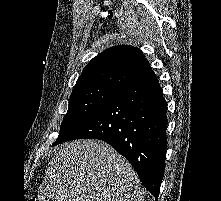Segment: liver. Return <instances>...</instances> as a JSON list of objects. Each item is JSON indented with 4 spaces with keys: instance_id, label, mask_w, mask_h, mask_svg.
Listing matches in <instances>:
<instances>
[{
    "instance_id": "1",
    "label": "liver",
    "mask_w": 221,
    "mask_h": 201,
    "mask_svg": "<svg viewBox=\"0 0 221 201\" xmlns=\"http://www.w3.org/2000/svg\"><path fill=\"white\" fill-rule=\"evenodd\" d=\"M131 164L100 140L62 144L48 164L40 201H144Z\"/></svg>"
}]
</instances>
